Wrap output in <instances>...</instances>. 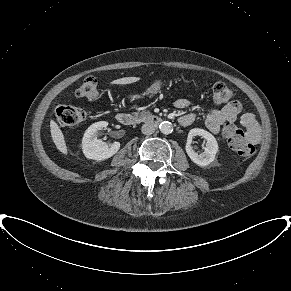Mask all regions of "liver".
<instances>
[{"instance_id":"liver-1","label":"liver","mask_w":291,"mask_h":291,"mask_svg":"<svg viewBox=\"0 0 291 291\" xmlns=\"http://www.w3.org/2000/svg\"><path fill=\"white\" fill-rule=\"evenodd\" d=\"M139 77H124L111 82V84L117 85H126L131 84L139 81ZM50 132L53 139L54 144L56 145L57 149L64 155L68 153V149L66 146V142L64 139V135L54 120L50 121Z\"/></svg>"}]
</instances>
